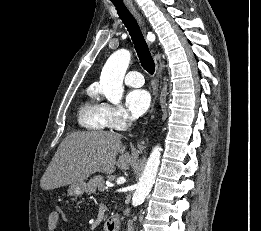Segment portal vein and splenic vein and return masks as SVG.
Listing matches in <instances>:
<instances>
[{
	"mask_svg": "<svg viewBox=\"0 0 261 231\" xmlns=\"http://www.w3.org/2000/svg\"><path fill=\"white\" fill-rule=\"evenodd\" d=\"M99 190H100V191H104V190H105V187H104V188H100Z\"/></svg>",
	"mask_w": 261,
	"mask_h": 231,
	"instance_id": "1",
	"label": "portal vein and splenic vein"
}]
</instances>
